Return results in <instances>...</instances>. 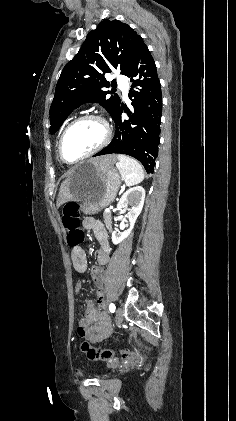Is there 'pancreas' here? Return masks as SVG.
<instances>
[{
	"label": "pancreas",
	"mask_w": 236,
	"mask_h": 421,
	"mask_svg": "<svg viewBox=\"0 0 236 421\" xmlns=\"http://www.w3.org/2000/svg\"><path fill=\"white\" fill-rule=\"evenodd\" d=\"M103 217L107 229H111V213H103Z\"/></svg>",
	"instance_id": "obj_1"
}]
</instances>
